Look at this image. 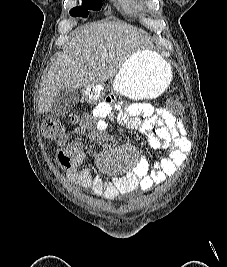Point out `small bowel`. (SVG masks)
<instances>
[{
    "instance_id": "small-bowel-1",
    "label": "small bowel",
    "mask_w": 227,
    "mask_h": 267,
    "mask_svg": "<svg viewBox=\"0 0 227 267\" xmlns=\"http://www.w3.org/2000/svg\"><path fill=\"white\" fill-rule=\"evenodd\" d=\"M115 116L126 125L145 134L151 146L166 151L167 155L153 165L140 158L132 171L109 180L93 175L84 165L86 153L83 150V142L70 141V138L74 134L89 130V140L101 141L102 133L109 127V119ZM91 118L94 121L93 125ZM91 118L84 117L64 132L58 141L56 159L70 182L108 199L136 189L150 190L156 184L166 181L184 165L186 154L191 149L181 118L167 109L148 103H133L121 107L113 100L107 99L94 107Z\"/></svg>"
}]
</instances>
